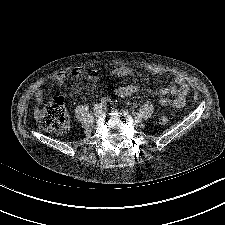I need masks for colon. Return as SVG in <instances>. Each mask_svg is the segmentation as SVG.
Masks as SVG:
<instances>
[{"label":"colon","instance_id":"1","mask_svg":"<svg viewBox=\"0 0 225 225\" xmlns=\"http://www.w3.org/2000/svg\"><path fill=\"white\" fill-rule=\"evenodd\" d=\"M39 122L44 130L65 134L69 128V117L62 99H55L38 113ZM169 122L167 116L159 120L161 125Z\"/></svg>","mask_w":225,"mask_h":225}]
</instances>
